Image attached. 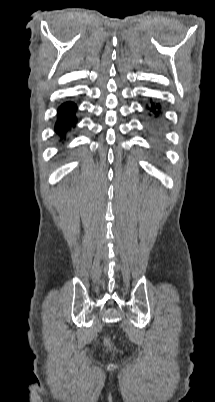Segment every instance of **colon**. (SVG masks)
I'll use <instances>...</instances> for the list:
<instances>
[{
    "mask_svg": "<svg viewBox=\"0 0 215 402\" xmlns=\"http://www.w3.org/2000/svg\"><path fill=\"white\" fill-rule=\"evenodd\" d=\"M105 344H106L108 347H111V346H112L110 340H108V339L105 341Z\"/></svg>",
    "mask_w": 215,
    "mask_h": 402,
    "instance_id": "colon-1",
    "label": "colon"
}]
</instances>
